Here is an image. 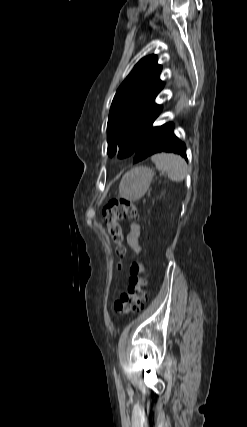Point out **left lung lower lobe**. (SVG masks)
Listing matches in <instances>:
<instances>
[{"label":"left lung lower lobe","instance_id":"left-lung-lower-lobe-1","mask_svg":"<svg viewBox=\"0 0 247 427\" xmlns=\"http://www.w3.org/2000/svg\"><path fill=\"white\" fill-rule=\"evenodd\" d=\"M173 129V123L156 127L152 124L140 141L133 162L143 161L160 152H174L187 160L186 146L174 135Z\"/></svg>","mask_w":247,"mask_h":427}]
</instances>
